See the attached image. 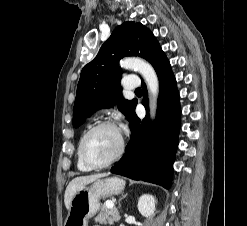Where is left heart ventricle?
Instances as JSON below:
<instances>
[{"mask_svg": "<svg viewBox=\"0 0 247 226\" xmlns=\"http://www.w3.org/2000/svg\"><path fill=\"white\" fill-rule=\"evenodd\" d=\"M119 133L112 128H101L91 133L84 144L86 158L100 164L112 158L119 148Z\"/></svg>", "mask_w": 247, "mask_h": 226, "instance_id": "left-heart-ventricle-1", "label": "left heart ventricle"}]
</instances>
